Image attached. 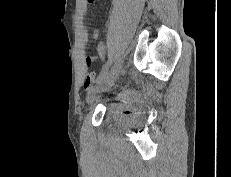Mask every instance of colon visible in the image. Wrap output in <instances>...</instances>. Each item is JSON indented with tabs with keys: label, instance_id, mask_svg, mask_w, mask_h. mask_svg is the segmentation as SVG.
<instances>
[{
	"label": "colon",
	"instance_id": "obj_1",
	"mask_svg": "<svg viewBox=\"0 0 231 177\" xmlns=\"http://www.w3.org/2000/svg\"><path fill=\"white\" fill-rule=\"evenodd\" d=\"M88 2H93V0H88Z\"/></svg>",
	"mask_w": 231,
	"mask_h": 177
}]
</instances>
